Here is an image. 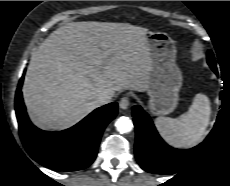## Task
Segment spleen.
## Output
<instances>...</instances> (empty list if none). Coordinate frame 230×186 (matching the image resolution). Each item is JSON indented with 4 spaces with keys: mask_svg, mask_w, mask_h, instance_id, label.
Returning a JSON list of instances; mask_svg holds the SVG:
<instances>
[{
    "mask_svg": "<svg viewBox=\"0 0 230 186\" xmlns=\"http://www.w3.org/2000/svg\"><path fill=\"white\" fill-rule=\"evenodd\" d=\"M211 105L209 98L198 93L188 112L179 118L158 117L155 124L161 136L175 147L197 145L204 137L209 125Z\"/></svg>",
    "mask_w": 230,
    "mask_h": 186,
    "instance_id": "obj_1",
    "label": "spleen"
}]
</instances>
